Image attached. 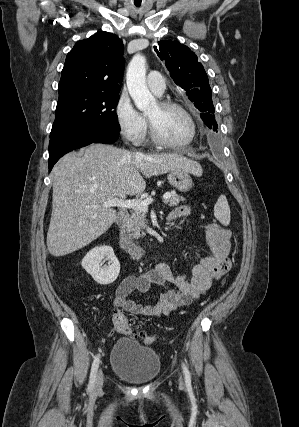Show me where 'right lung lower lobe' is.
I'll use <instances>...</instances> for the list:
<instances>
[{
	"instance_id": "right-lung-lower-lobe-1",
	"label": "right lung lower lobe",
	"mask_w": 299,
	"mask_h": 427,
	"mask_svg": "<svg viewBox=\"0 0 299 427\" xmlns=\"http://www.w3.org/2000/svg\"><path fill=\"white\" fill-rule=\"evenodd\" d=\"M119 132L98 129H72L50 138L49 142V171L53 165L66 153L91 143L111 144L117 140Z\"/></svg>"
}]
</instances>
